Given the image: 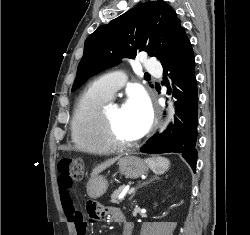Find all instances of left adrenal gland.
I'll use <instances>...</instances> for the list:
<instances>
[{
  "label": "left adrenal gland",
  "mask_w": 250,
  "mask_h": 235,
  "mask_svg": "<svg viewBox=\"0 0 250 235\" xmlns=\"http://www.w3.org/2000/svg\"><path fill=\"white\" fill-rule=\"evenodd\" d=\"M156 179H158V177L154 176V177L151 178L148 182L143 183L141 186L146 185V184H149L150 182H152L153 180H156ZM134 195H135V191H134V193L132 194V196L130 197V200L133 199Z\"/></svg>",
  "instance_id": "a2214340"
}]
</instances>
